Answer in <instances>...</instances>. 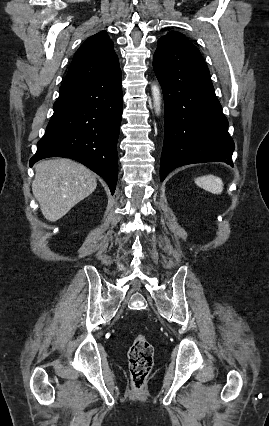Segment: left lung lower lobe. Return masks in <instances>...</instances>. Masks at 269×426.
I'll return each instance as SVG.
<instances>
[{"label": "left lung lower lobe", "instance_id": "left-lung-lower-lobe-1", "mask_svg": "<svg viewBox=\"0 0 269 426\" xmlns=\"http://www.w3.org/2000/svg\"><path fill=\"white\" fill-rule=\"evenodd\" d=\"M153 68L165 104L160 180L173 169L193 163L233 166L228 121L200 51L192 43L159 39Z\"/></svg>", "mask_w": 269, "mask_h": 426}]
</instances>
